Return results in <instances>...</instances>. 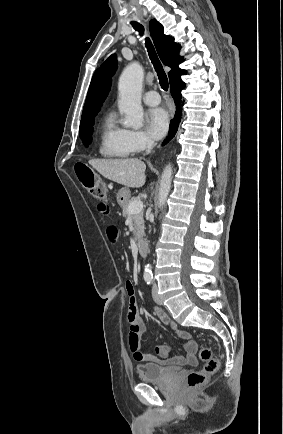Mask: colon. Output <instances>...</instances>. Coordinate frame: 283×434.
Here are the masks:
<instances>
[{
  "label": "colon",
  "mask_w": 283,
  "mask_h": 434,
  "mask_svg": "<svg viewBox=\"0 0 283 434\" xmlns=\"http://www.w3.org/2000/svg\"><path fill=\"white\" fill-rule=\"evenodd\" d=\"M75 172L78 181L93 197L99 200L106 198L107 189L105 184L89 166L82 163L77 164ZM199 358L204 362L203 368L192 371L187 376V386L191 390L203 386L207 379L217 372L219 367L218 360L213 357L209 348H201Z\"/></svg>",
  "instance_id": "colon-1"
}]
</instances>
